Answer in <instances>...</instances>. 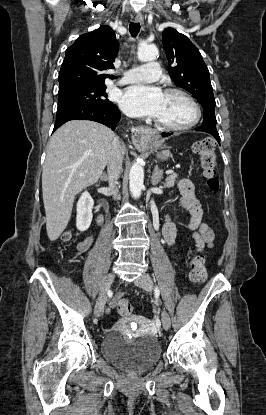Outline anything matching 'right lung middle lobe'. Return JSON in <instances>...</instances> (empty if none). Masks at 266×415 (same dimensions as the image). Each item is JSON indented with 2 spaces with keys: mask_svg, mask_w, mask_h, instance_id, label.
<instances>
[{
  "mask_svg": "<svg viewBox=\"0 0 266 415\" xmlns=\"http://www.w3.org/2000/svg\"><path fill=\"white\" fill-rule=\"evenodd\" d=\"M105 90V85H99L58 93V106L88 105L101 108L115 106L108 100Z\"/></svg>",
  "mask_w": 266,
  "mask_h": 415,
  "instance_id": "right-lung-middle-lobe-1",
  "label": "right lung middle lobe"
}]
</instances>
